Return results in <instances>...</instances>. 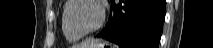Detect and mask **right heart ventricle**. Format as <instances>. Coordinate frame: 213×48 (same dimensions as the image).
Wrapping results in <instances>:
<instances>
[{
  "label": "right heart ventricle",
  "mask_w": 213,
  "mask_h": 48,
  "mask_svg": "<svg viewBox=\"0 0 213 48\" xmlns=\"http://www.w3.org/2000/svg\"><path fill=\"white\" fill-rule=\"evenodd\" d=\"M64 12H65V8L63 10V14H64ZM61 30H62V33H63L65 39L70 43L77 42L80 39L79 37L74 36L68 32V30L66 29L64 22H63V15H62V22H61Z\"/></svg>",
  "instance_id": "obj_1"
}]
</instances>
